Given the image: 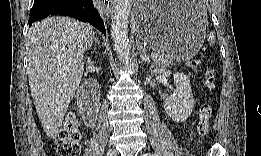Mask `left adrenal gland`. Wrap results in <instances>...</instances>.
I'll return each mask as SVG.
<instances>
[{
	"mask_svg": "<svg viewBox=\"0 0 261 156\" xmlns=\"http://www.w3.org/2000/svg\"><path fill=\"white\" fill-rule=\"evenodd\" d=\"M137 49L139 50L140 59L142 62L149 64L151 62L149 55L147 54L145 48L141 45L139 41L136 42Z\"/></svg>",
	"mask_w": 261,
	"mask_h": 156,
	"instance_id": "a2214340",
	"label": "left adrenal gland"
}]
</instances>
